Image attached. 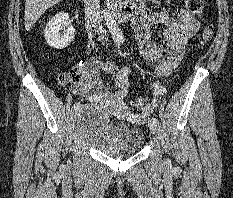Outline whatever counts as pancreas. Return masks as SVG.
<instances>
[{
	"mask_svg": "<svg viewBox=\"0 0 233 198\" xmlns=\"http://www.w3.org/2000/svg\"><path fill=\"white\" fill-rule=\"evenodd\" d=\"M108 2L111 1V2H116L117 0H107Z\"/></svg>",
	"mask_w": 233,
	"mask_h": 198,
	"instance_id": "1",
	"label": "pancreas"
}]
</instances>
